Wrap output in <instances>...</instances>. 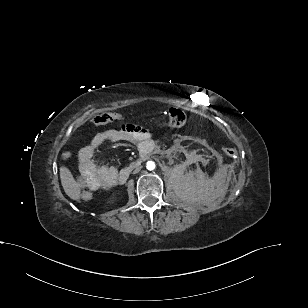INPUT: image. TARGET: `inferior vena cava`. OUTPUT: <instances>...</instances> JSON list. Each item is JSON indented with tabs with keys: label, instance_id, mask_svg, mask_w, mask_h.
<instances>
[{
	"label": "inferior vena cava",
	"instance_id": "obj_1",
	"mask_svg": "<svg viewBox=\"0 0 308 308\" xmlns=\"http://www.w3.org/2000/svg\"><path fill=\"white\" fill-rule=\"evenodd\" d=\"M140 167H138V168H136L135 170H134V173H137V172H139L140 171Z\"/></svg>",
	"mask_w": 308,
	"mask_h": 308
}]
</instances>
